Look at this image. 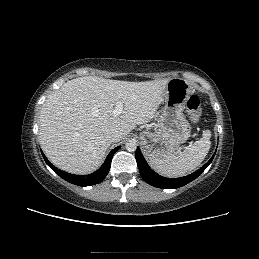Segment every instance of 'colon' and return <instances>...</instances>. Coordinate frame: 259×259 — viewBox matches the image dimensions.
Instances as JSON below:
<instances>
[{
    "label": "colon",
    "instance_id": "obj_1",
    "mask_svg": "<svg viewBox=\"0 0 259 259\" xmlns=\"http://www.w3.org/2000/svg\"><path fill=\"white\" fill-rule=\"evenodd\" d=\"M187 113L193 122L197 123L201 117V102L198 96L192 95L186 102Z\"/></svg>",
    "mask_w": 259,
    "mask_h": 259
}]
</instances>
